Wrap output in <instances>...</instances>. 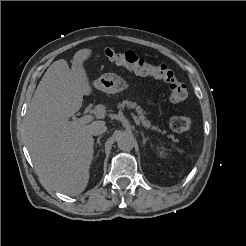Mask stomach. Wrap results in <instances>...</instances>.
Returning a JSON list of instances; mask_svg holds the SVG:
<instances>
[{
  "label": "stomach",
  "mask_w": 246,
  "mask_h": 246,
  "mask_svg": "<svg viewBox=\"0 0 246 246\" xmlns=\"http://www.w3.org/2000/svg\"><path fill=\"white\" fill-rule=\"evenodd\" d=\"M93 85L96 89L108 94L122 92L129 87L125 79L113 72L101 75L93 82Z\"/></svg>",
  "instance_id": "stomach-1"
}]
</instances>
